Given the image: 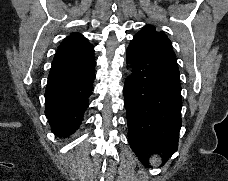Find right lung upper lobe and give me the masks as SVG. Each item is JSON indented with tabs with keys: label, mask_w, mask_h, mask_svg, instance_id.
<instances>
[{
	"label": "right lung upper lobe",
	"mask_w": 228,
	"mask_h": 181,
	"mask_svg": "<svg viewBox=\"0 0 228 181\" xmlns=\"http://www.w3.org/2000/svg\"><path fill=\"white\" fill-rule=\"evenodd\" d=\"M92 45L79 33H74L66 37L58 48L54 59L62 58L74 54Z\"/></svg>",
	"instance_id": "obj_1"
}]
</instances>
